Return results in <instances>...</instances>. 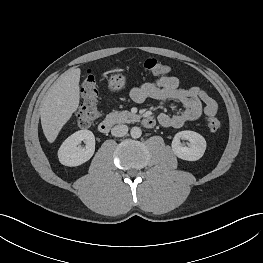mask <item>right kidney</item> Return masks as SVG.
<instances>
[{
  "label": "right kidney",
  "mask_w": 263,
  "mask_h": 263,
  "mask_svg": "<svg viewBox=\"0 0 263 263\" xmlns=\"http://www.w3.org/2000/svg\"><path fill=\"white\" fill-rule=\"evenodd\" d=\"M86 143L85 148L80 146ZM95 151V137L89 130H80L69 136L58 150V158L65 166H79L88 161Z\"/></svg>",
  "instance_id": "obj_1"
}]
</instances>
